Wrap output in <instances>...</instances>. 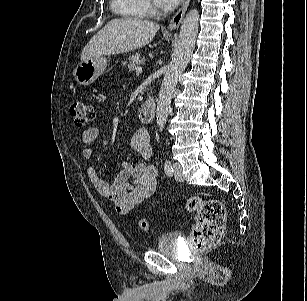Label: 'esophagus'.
I'll return each instance as SVG.
<instances>
[{"instance_id":"34e87169","label":"esophagus","mask_w":307,"mask_h":301,"mask_svg":"<svg viewBox=\"0 0 307 301\" xmlns=\"http://www.w3.org/2000/svg\"><path fill=\"white\" fill-rule=\"evenodd\" d=\"M189 3H190V0H184L182 6L180 7V9L177 11V13L173 16L172 20L170 21L168 25L169 30H175L179 27L184 17V14L189 6Z\"/></svg>"}]
</instances>
